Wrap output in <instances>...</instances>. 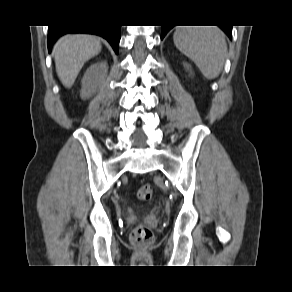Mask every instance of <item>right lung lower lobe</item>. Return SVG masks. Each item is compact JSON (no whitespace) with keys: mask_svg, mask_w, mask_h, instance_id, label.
<instances>
[{"mask_svg":"<svg viewBox=\"0 0 292 292\" xmlns=\"http://www.w3.org/2000/svg\"><path fill=\"white\" fill-rule=\"evenodd\" d=\"M66 33H89L105 38L113 47L116 54L119 50L120 26L109 25H76V26H49L48 29V49L51 51L52 45L62 35Z\"/></svg>","mask_w":292,"mask_h":292,"instance_id":"obj_1","label":"right lung lower lobe"}]
</instances>
